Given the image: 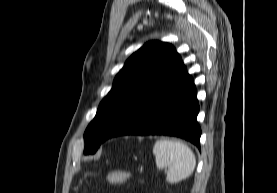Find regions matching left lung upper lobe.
<instances>
[{
  "label": "left lung upper lobe",
  "instance_id": "left-lung-upper-lobe-1",
  "mask_svg": "<svg viewBox=\"0 0 277 193\" xmlns=\"http://www.w3.org/2000/svg\"><path fill=\"white\" fill-rule=\"evenodd\" d=\"M184 67L180 55L168 43L144 44L116 75L113 87L100 103L85 133L84 154H93L121 115L142 96Z\"/></svg>",
  "mask_w": 277,
  "mask_h": 193
}]
</instances>
